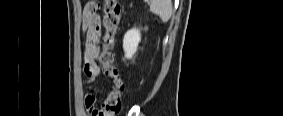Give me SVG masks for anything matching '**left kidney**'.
Wrapping results in <instances>:
<instances>
[{"instance_id":"obj_1","label":"left kidney","mask_w":283,"mask_h":116,"mask_svg":"<svg viewBox=\"0 0 283 116\" xmlns=\"http://www.w3.org/2000/svg\"><path fill=\"white\" fill-rule=\"evenodd\" d=\"M141 41V33L139 29L133 28L124 35L123 49L125 57L130 59L137 51L139 42Z\"/></svg>"}]
</instances>
